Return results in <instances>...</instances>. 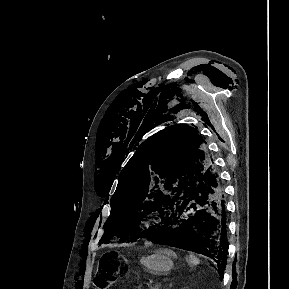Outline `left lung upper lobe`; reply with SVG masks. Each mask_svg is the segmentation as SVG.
<instances>
[{
  "instance_id": "obj_1",
  "label": "left lung upper lobe",
  "mask_w": 289,
  "mask_h": 289,
  "mask_svg": "<svg viewBox=\"0 0 289 289\" xmlns=\"http://www.w3.org/2000/svg\"><path fill=\"white\" fill-rule=\"evenodd\" d=\"M205 143L196 129L181 124L143 142L119 176L101 241L132 242L154 231L157 225L140 233L139 221L156 209L164 220L173 198L203 175L212 163Z\"/></svg>"
}]
</instances>
